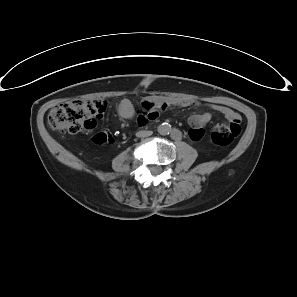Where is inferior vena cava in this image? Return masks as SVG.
<instances>
[{
    "mask_svg": "<svg viewBox=\"0 0 297 297\" xmlns=\"http://www.w3.org/2000/svg\"><path fill=\"white\" fill-rule=\"evenodd\" d=\"M152 133H153L152 131L141 130L136 133V136L139 138L140 137H148V136L152 135Z\"/></svg>",
    "mask_w": 297,
    "mask_h": 297,
    "instance_id": "inferior-vena-cava-1",
    "label": "inferior vena cava"
}]
</instances>
